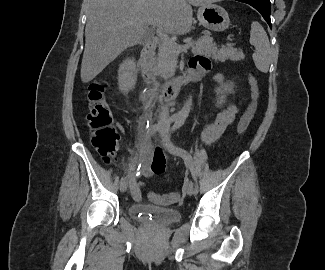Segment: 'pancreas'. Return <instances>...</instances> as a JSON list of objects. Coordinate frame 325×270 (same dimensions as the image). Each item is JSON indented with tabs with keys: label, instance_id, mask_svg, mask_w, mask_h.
<instances>
[{
	"label": "pancreas",
	"instance_id": "obj_1",
	"mask_svg": "<svg viewBox=\"0 0 325 270\" xmlns=\"http://www.w3.org/2000/svg\"><path fill=\"white\" fill-rule=\"evenodd\" d=\"M194 54L209 56L214 60L224 62L226 60L239 61L245 58L241 49L232 45L221 46L218 49L216 43L209 35H204L194 42L192 47ZM179 51L167 44L162 43L159 47L158 56L155 61V69L164 79H169L174 75Z\"/></svg>",
	"mask_w": 325,
	"mask_h": 270
}]
</instances>
